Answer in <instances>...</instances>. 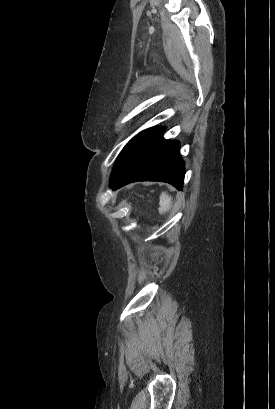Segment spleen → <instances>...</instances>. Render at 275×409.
Here are the masks:
<instances>
[{
  "mask_svg": "<svg viewBox=\"0 0 275 409\" xmlns=\"http://www.w3.org/2000/svg\"><path fill=\"white\" fill-rule=\"evenodd\" d=\"M159 205L160 207L158 211L160 215H164V213H169L172 207V196H169L167 192H161Z\"/></svg>",
  "mask_w": 275,
  "mask_h": 409,
  "instance_id": "obj_1",
  "label": "spleen"
}]
</instances>
